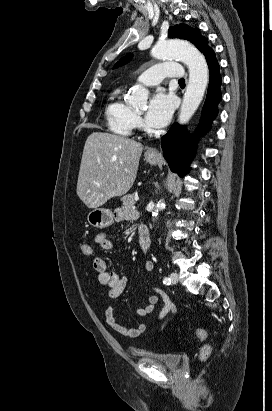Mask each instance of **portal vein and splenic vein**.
<instances>
[{
    "label": "portal vein and splenic vein",
    "instance_id": "18ae733b",
    "mask_svg": "<svg viewBox=\"0 0 272 411\" xmlns=\"http://www.w3.org/2000/svg\"><path fill=\"white\" fill-rule=\"evenodd\" d=\"M134 200H135V201H138V200H139V197H138V196H135V197H134Z\"/></svg>",
    "mask_w": 272,
    "mask_h": 411
}]
</instances>
